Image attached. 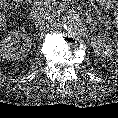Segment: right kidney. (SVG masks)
<instances>
[{
    "instance_id": "right-kidney-1",
    "label": "right kidney",
    "mask_w": 118,
    "mask_h": 118,
    "mask_svg": "<svg viewBox=\"0 0 118 118\" xmlns=\"http://www.w3.org/2000/svg\"><path fill=\"white\" fill-rule=\"evenodd\" d=\"M23 37L24 43L19 44V38ZM17 44L16 47L13 45ZM0 54L3 59L18 61L27 56L32 42L30 37L27 36L24 30L22 31H11L8 35L2 40L0 44Z\"/></svg>"
}]
</instances>
